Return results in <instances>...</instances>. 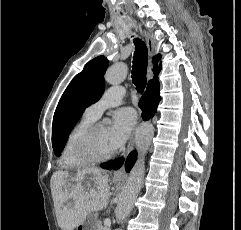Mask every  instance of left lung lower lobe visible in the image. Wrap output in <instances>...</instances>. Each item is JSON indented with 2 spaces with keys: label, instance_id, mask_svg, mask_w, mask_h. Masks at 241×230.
Listing matches in <instances>:
<instances>
[{
  "label": "left lung lower lobe",
  "instance_id": "left-lung-lower-lobe-1",
  "mask_svg": "<svg viewBox=\"0 0 241 230\" xmlns=\"http://www.w3.org/2000/svg\"><path fill=\"white\" fill-rule=\"evenodd\" d=\"M136 156H137V153L136 151H133L131 152L126 161H125V169L127 172H129L131 170V168L133 167L135 161H136ZM124 164V158L120 157V158H117L115 160H112V161H108L106 163H103L101 164V167L102 168H105V169H114V170H117L119 169L122 165Z\"/></svg>",
  "mask_w": 241,
  "mask_h": 230
}]
</instances>
